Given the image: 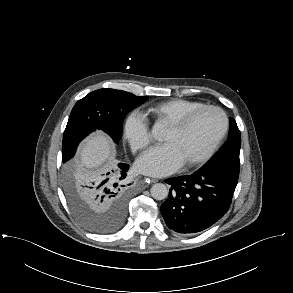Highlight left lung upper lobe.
I'll use <instances>...</instances> for the list:
<instances>
[{
    "label": "left lung upper lobe",
    "instance_id": "1",
    "mask_svg": "<svg viewBox=\"0 0 293 293\" xmlns=\"http://www.w3.org/2000/svg\"><path fill=\"white\" fill-rule=\"evenodd\" d=\"M241 135L236 121L230 118V128L227 142L219 151L198 171L216 172L238 181L239 177V152Z\"/></svg>",
    "mask_w": 293,
    "mask_h": 293
}]
</instances>
